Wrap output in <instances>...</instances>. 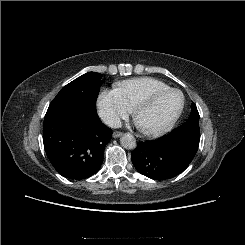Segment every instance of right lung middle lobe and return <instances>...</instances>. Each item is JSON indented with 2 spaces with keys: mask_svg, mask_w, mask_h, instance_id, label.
Wrapping results in <instances>:
<instances>
[{
  "mask_svg": "<svg viewBox=\"0 0 245 245\" xmlns=\"http://www.w3.org/2000/svg\"><path fill=\"white\" fill-rule=\"evenodd\" d=\"M102 75L88 72L64 86L53 99L49 108L80 105L96 110V100L102 85Z\"/></svg>",
  "mask_w": 245,
  "mask_h": 245,
  "instance_id": "right-lung-middle-lobe-1",
  "label": "right lung middle lobe"
}]
</instances>
